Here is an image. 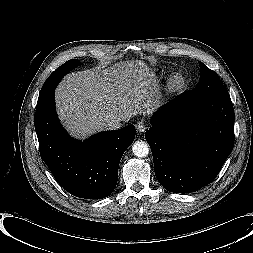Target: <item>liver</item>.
Instances as JSON below:
<instances>
[{"mask_svg":"<svg viewBox=\"0 0 253 253\" xmlns=\"http://www.w3.org/2000/svg\"><path fill=\"white\" fill-rule=\"evenodd\" d=\"M160 97L155 75L140 60L71 73L55 91L60 119L79 138L107 129L110 118L127 122L138 114L152 113Z\"/></svg>","mask_w":253,"mask_h":253,"instance_id":"liver-1","label":"liver"}]
</instances>
